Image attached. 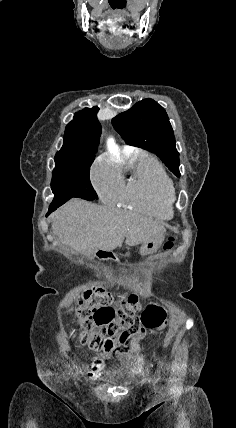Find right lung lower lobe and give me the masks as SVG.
<instances>
[{
    "label": "right lung lower lobe",
    "mask_w": 236,
    "mask_h": 428,
    "mask_svg": "<svg viewBox=\"0 0 236 428\" xmlns=\"http://www.w3.org/2000/svg\"><path fill=\"white\" fill-rule=\"evenodd\" d=\"M57 208L58 207H52V208L49 207V211L46 216H48L51 212L55 211Z\"/></svg>",
    "instance_id": "98d812e1"
}]
</instances>
